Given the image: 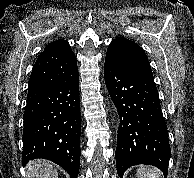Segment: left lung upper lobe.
Wrapping results in <instances>:
<instances>
[{
	"instance_id": "5c2ea615",
	"label": "left lung upper lobe",
	"mask_w": 194,
	"mask_h": 178,
	"mask_svg": "<svg viewBox=\"0 0 194 178\" xmlns=\"http://www.w3.org/2000/svg\"><path fill=\"white\" fill-rule=\"evenodd\" d=\"M105 60H109L127 71L154 79L144 50L134 41L123 37L114 39L108 47Z\"/></svg>"
}]
</instances>
